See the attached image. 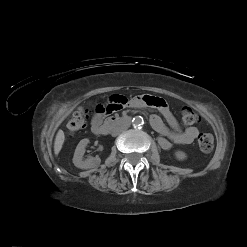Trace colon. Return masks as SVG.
I'll use <instances>...</instances> for the list:
<instances>
[{
	"label": "colon",
	"instance_id": "1",
	"mask_svg": "<svg viewBox=\"0 0 247 247\" xmlns=\"http://www.w3.org/2000/svg\"><path fill=\"white\" fill-rule=\"evenodd\" d=\"M89 111L84 108L78 109L67 124L68 132L74 135L86 126ZM181 121L185 126H193L199 121V116L189 107L181 110ZM198 145L201 151L210 152L214 146V138L209 133H202L198 138Z\"/></svg>",
	"mask_w": 247,
	"mask_h": 247
}]
</instances>
